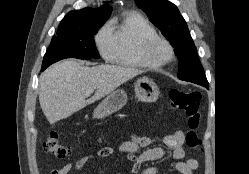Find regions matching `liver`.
<instances>
[{
  "instance_id": "1",
  "label": "liver",
  "mask_w": 249,
  "mask_h": 174,
  "mask_svg": "<svg viewBox=\"0 0 249 174\" xmlns=\"http://www.w3.org/2000/svg\"><path fill=\"white\" fill-rule=\"evenodd\" d=\"M143 71L116 65L81 66L66 60L49 67L41 76L39 102L50 123L65 119L102 99ZM95 94L86 100L93 91Z\"/></svg>"
}]
</instances>
